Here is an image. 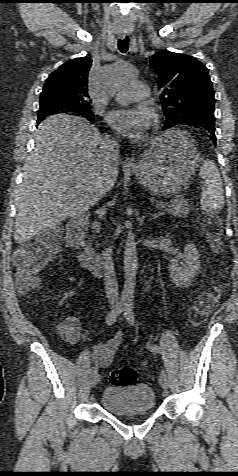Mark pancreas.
Masks as SVG:
<instances>
[{
  "label": "pancreas",
  "mask_w": 238,
  "mask_h": 476,
  "mask_svg": "<svg viewBox=\"0 0 238 476\" xmlns=\"http://www.w3.org/2000/svg\"><path fill=\"white\" fill-rule=\"evenodd\" d=\"M160 208L164 209L166 212L170 213L175 217L187 216L190 212L189 200L184 198L172 200L167 205L160 206ZM92 228L94 229V231L99 232L100 224L98 222H95L93 223Z\"/></svg>",
  "instance_id": "obj_1"
}]
</instances>
